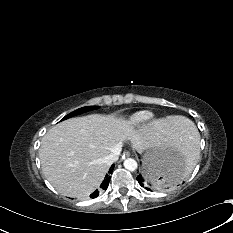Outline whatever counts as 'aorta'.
Returning <instances> with one entry per match:
<instances>
[{
  "label": "aorta",
  "mask_w": 233,
  "mask_h": 233,
  "mask_svg": "<svg viewBox=\"0 0 233 233\" xmlns=\"http://www.w3.org/2000/svg\"><path fill=\"white\" fill-rule=\"evenodd\" d=\"M123 165L129 171H135L138 167L136 160H134L133 158L125 159Z\"/></svg>",
  "instance_id": "1"
}]
</instances>
